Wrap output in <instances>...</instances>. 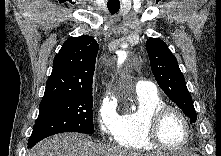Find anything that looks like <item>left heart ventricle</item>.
Masks as SVG:
<instances>
[{
	"label": "left heart ventricle",
	"instance_id": "b2bd125f",
	"mask_svg": "<svg viewBox=\"0 0 221 156\" xmlns=\"http://www.w3.org/2000/svg\"><path fill=\"white\" fill-rule=\"evenodd\" d=\"M186 128L181 117L174 113H168L163 119L159 136L161 141L169 147L179 146L185 139Z\"/></svg>",
	"mask_w": 221,
	"mask_h": 156
}]
</instances>
